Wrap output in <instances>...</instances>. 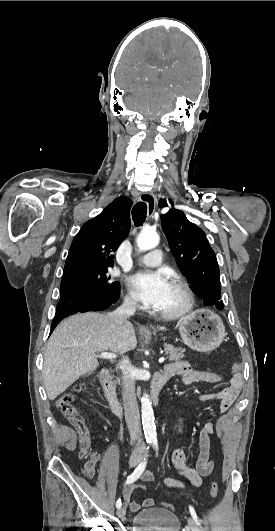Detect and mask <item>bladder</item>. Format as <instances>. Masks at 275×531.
<instances>
[{
  "label": "bladder",
  "mask_w": 275,
  "mask_h": 531,
  "mask_svg": "<svg viewBox=\"0 0 275 531\" xmlns=\"http://www.w3.org/2000/svg\"><path fill=\"white\" fill-rule=\"evenodd\" d=\"M180 521L166 508L145 509L133 517V531H179Z\"/></svg>",
  "instance_id": "31cf9c89"
}]
</instances>
